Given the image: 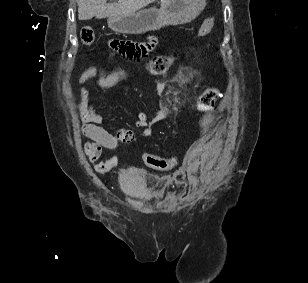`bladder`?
<instances>
[{"mask_svg":"<svg viewBox=\"0 0 308 283\" xmlns=\"http://www.w3.org/2000/svg\"><path fill=\"white\" fill-rule=\"evenodd\" d=\"M120 184L126 194L132 197L141 195L143 180L138 173L123 172L120 176Z\"/></svg>","mask_w":308,"mask_h":283,"instance_id":"obj_1","label":"bladder"}]
</instances>
